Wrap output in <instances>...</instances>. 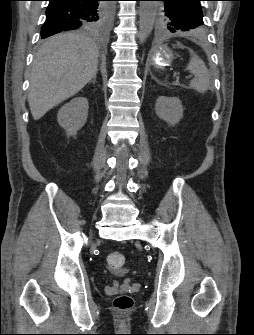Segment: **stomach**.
I'll use <instances>...</instances> for the list:
<instances>
[{"mask_svg": "<svg viewBox=\"0 0 254 335\" xmlns=\"http://www.w3.org/2000/svg\"><path fill=\"white\" fill-rule=\"evenodd\" d=\"M173 60V52L166 46L155 50L150 59L152 65L160 69L170 66Z\"/></svg>", "mask_w": 254, "mask_h": 335, "instance_id": "1", "label": "stomach"}]
</instances>
